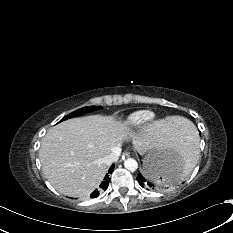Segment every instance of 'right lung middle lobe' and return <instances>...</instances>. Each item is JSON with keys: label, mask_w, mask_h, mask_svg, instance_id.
<instances>
[{"label": "right lung middle lobe", "mask_w": 233, "mask_h": 233, "mask_svg": "<svg viewBox=\"0 0 233 233\" xmlns=\"http://www.w3.org/2000/svg\"><path fill=\"white\" fill-rule=\"evenodd\" d=\"M98 109H100L99 106L83 107V108H80V109L66 115L64 118L61 119V121H64V120L70 119L72 117L79 116V115H82V114H85V113H88V112H91V111H94V110H98Z\"/></svg>", "instance_id": "obj_1"}]
</instances>
